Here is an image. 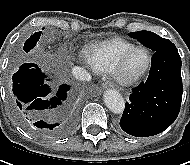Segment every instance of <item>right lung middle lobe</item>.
Returning <instances> with one entry per match:
<instances>
[{"label":"right lung middle lobe","mask_w":190,"mask_h":165,"mask_svg":"<svg viewBox=\"0 0 190 165\" xmlns=\"http://www.w3.org/2000/svg\"><path fill=\"white\" fill-rule=\"evenodd\" d=\"M41 33L42 31L36 32L33 35H31L29 39L26 40V42L24 43L25 52H29L35 46L36 42L40 38Z\"/></svg>","instance_id":"right-lung-middle-lobe-1"}]
</instances>
